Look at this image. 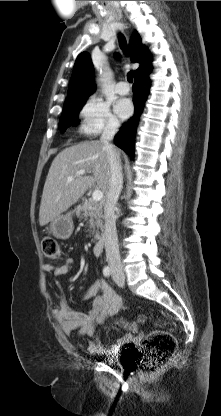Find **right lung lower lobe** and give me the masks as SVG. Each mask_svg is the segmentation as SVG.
I'll return each mask as SVG.
<instances>
[{
	"label": "right lung lower lobe",
	"instance_id": "obj_1",
	"mask_svg": "<svg viewBox=\"0 0 221 416\" xmlns=\"http://www.w3.org/2000/svg\"><path fill=\"white\" fill-rule=\"evenodd\" d=\"M151 71L135 76V83L133 85L134 93V116L121 128L114 138V143L123 149L131 158L134 157V139L136 135V128L139 122V117L143 111L145 101L149 94Z\"/></svg>",
	"mask_w": 221,
	"mask_h": 416
}]
</instances>
